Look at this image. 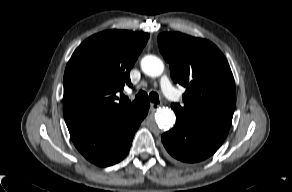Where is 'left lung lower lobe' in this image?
<instances>
[{
    "label": "left lung lower lobe",
    "mask_w": 292,
    "mask_h": 192,
    "mask_svg": "<svg viewBox=\"0 0 292 192\" xmlns=\"http://www.w3.org/2000/svg\"><path fill=\"white\" fill-rule=\"evenodd\" d=\"M228 131L214 127L186 124L176 120L175 126L164 133L162 142L168 153L178 161L194 163L214 154Z\"/></svg>",
    "instance_id": "1"
}]
</instances>
